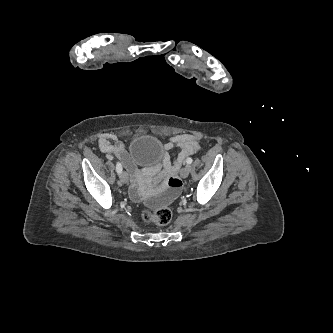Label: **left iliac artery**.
<instances>
[{
    "instance_id": "44dca946",
    "label": "left iliac artery",
    "mask_w": 333,
    "mask_h": 333,
    "mask_svg": "<svg viewBox=\"0 0 333 333\" xmlns=\"http://www.w3.org/2000/svg\"><path fill=\"white\" fill-rule=\"evenodd\" d=\"M187 164H191L193 162L192 158H187L186 160Z\"/></svg>"
}]
</instances>
